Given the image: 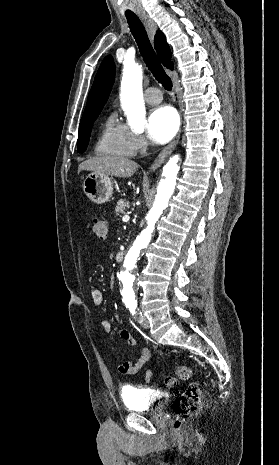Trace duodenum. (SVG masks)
I'll return each mask as SVG.
<instances>
[{"label": "duodenum", "instance_id": "duodenum-1", "mask_svg": "<svg viewBox=\"0 0 279 465\" xmlns=\"http://www.w3.org/2000/svg\"><path fill=\"white\" fill-rule=\"evenodd\" d=\"M115 259H116L117 262L123 261V259H124V252H123V251H119V252L116 254Z\"/></svg>", "mask_w": 279, "mask_h": 465}]
</instances>
